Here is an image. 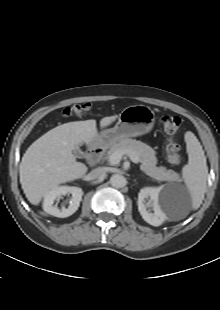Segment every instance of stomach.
<instances>
[{
    "label": "stomach",
    "mask_w": 220,
    "mask_h": 310,
    "mask_svg": "<svg viewBox=\"0 0 220 310\" xmlns=\"http://www.w3.org/2000/svg\"><path fill=\"white\" fill-rule=\"evenodd\" d=\"M155 122L154 112L144 105L126 107L113 128L103 130L97 141L101 145H112L128 137L144 135L151 131Z\"/></svg>",
    "instance_id": "0dacf381"
}]
</instances>
